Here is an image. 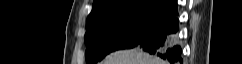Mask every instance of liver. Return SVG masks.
<instances>
[{"label":"liver","instance_id":"1","mask_svg":"<svg viewBox=\"0 0 242 64\" xmlns=\"http://www.w3.org/2000/svg\"><path fill=\"white\" fill-rule=\"evenodd\" d=\"M161 60L139 48L111 53L101 64H161Z\"/></svg>","mask_w":242,"mask_h":64}]
</instances>
